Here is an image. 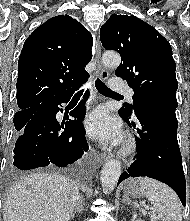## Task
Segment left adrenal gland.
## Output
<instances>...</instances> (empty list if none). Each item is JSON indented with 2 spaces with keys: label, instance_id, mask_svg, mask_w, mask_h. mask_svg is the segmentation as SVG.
I'll return each instance as SVG.
<instances>
[{
  "label": "left adrenal gland",
  "instance_id": "a2214340",
  "mask_svg": "<svg viewBox=\"0 0 190 221\" xmlns=\"http://www.w3.org/2000/svg\"><path fill=\"white\" fill-rule=\"evenodd\" d=\"M124 204L125 205H131V202H130V200H129L127 195H124Z\"/></svg>",
  "mask_w": 190,
  "mask_h": 221
}]
</instances>
